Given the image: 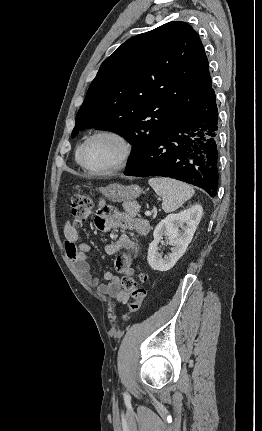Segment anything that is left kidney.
Listing matches in <instances>:
<instances>
[{"instance_id":"1","label":"left kidney","mask_w":262,"mask_h":431,"mask_svg":"<svg viewBox=\"0 0 262 431\" xmlns=\"http://www.w3.org/2000/svg\"><path fill=\"white\" fill-rule=\"evenodd\" d=\"M202 214V206L194 205L177 214H169L161 220L154 230V240L148 248L147 260L152 269L168 271L176 264L186 252ZM163 236H168L169 243L173 246L171 253L164 257L158 251V244Z\"/></svg>"}]
</instances>
